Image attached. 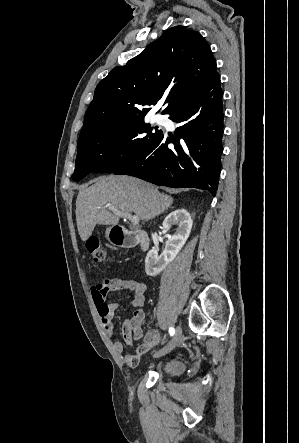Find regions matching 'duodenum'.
Here are the masks:
<instances>
[{
  "label": "duodenum",
  "mask_w": 299,
  "mask_h": 443,
  "mask_svg": "<svg viewBox=\"0 0 299 443\" xmlns=\"http://www.w3.org/2000/svg\"><path fill=\"white\" fill-rule=\"evenodd\" d=\"M111 242L119 247H131L138 242L142 250H147L150 246V240L146 232L143 230H130L122 225L113 227L110 235Z\"/></svg>",
  "instance_id": "410a0bca"
}]
</instances>
